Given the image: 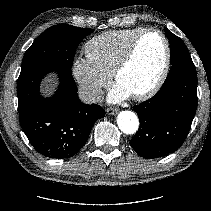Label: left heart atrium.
Masks as SVG:
<instances>
[{
  "mask_svg": "<svg viewBox=\"0 0 211 211\" xmlns=\"http://www.w3.org/2000/svg\"><path fill=\"white\" fill-rule=\"evenodd\" d=\"M130 95L131 94L127 89H125L119 83H116L110 91L109 99L110 101L115 102V101L127 99Z\"/></svg>",
  "mask_w": 211,
  "mask_h": 211,
  "instance_id": "obj_1",
  "label": "left heart atrium"
}]
</instances>
